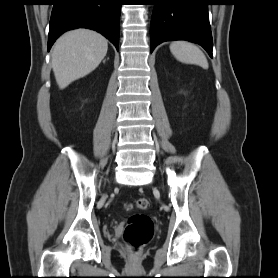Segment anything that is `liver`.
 <instances>
[{"label":"liver","mask_w":278,"mask_h":278,"mask_svg":"<svg viewBox=\"0 0 278 278\" xmlns=\"http://www.w3.org/2000/svg\"><path fill=\"white\" fill-rule=\"evenodd\" d=\"M108 41L89 29L63 34L52 52V68L60 89L95 70L107 54Z\"/></svg>","instance_id":"6515ba94"}]
</instances>
